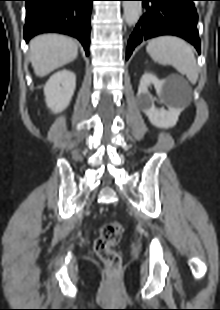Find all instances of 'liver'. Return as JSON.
Masks as SVG:
<instances>
[{"label": "liver", "mask_w": 220, "mask_h": 310, "mask_svg": "<svg viewBox=\"0 0 220 310\" xmlns=\"http://www.w3.org/2000/svg\"><path fill=\"white\" fill-rule=\"evenodd\" d=\"M77 55L75 41L63 35L44 34L30 41V61L39 77L72 62Z\"/></svg>", "instance_id": "6515ba94"}]
</instances>
